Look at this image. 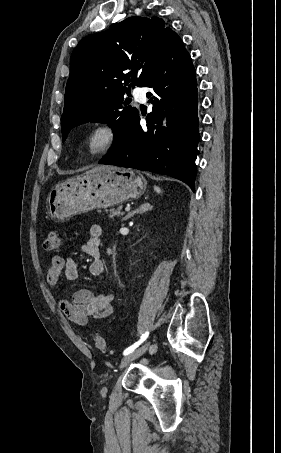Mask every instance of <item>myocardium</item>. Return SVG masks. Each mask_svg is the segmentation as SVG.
I'll use <instances>...</instances> for the list:
<instances>
[{
	"label": "myocardium",
	"instance_id": "f54148a6",
	"mask_svg": "<svg viewBox=\"0 0 281 453\" xmlns=\"http://www.w3.org/2000/svg\"><path fill=\"white\" fill-rule=\"evenodd\" d=\"M114 128L107 123L91 126L82 137V149L85 154L94 156L109 150L116 142Z\"/></svg>",
	"mask_w": 281,
	"mask_h": 453
}]
</instances>
